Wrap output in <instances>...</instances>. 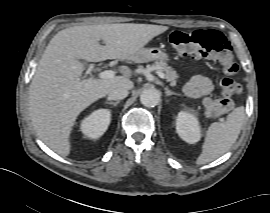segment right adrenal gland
<instances>
[{
	"label": "right adrenal gland",
	"instance_id": "obj_1",
	"mask_svg": "<svg viewBox=\"0 0 270 213\" xmlns=\"http://www.w3.org/2000/svg\"><path fill=\"white\" fill-rule=\"evenodd\" d=\"M119 102L120 101L112 102V101L106 100V104H110V105H113V106H117V104H119Z\"/></svg>",
	"mask_w": 270,
	"mask_h": 213
}]
</instances>
